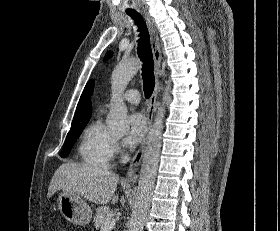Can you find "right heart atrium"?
I'll return each mask as SVG.
<instances>
[{
  "mask_svg": "<svg viewBox=\"0 0 280 231\" xmlns=\"http://www.w3.org/2000/svg\"><path fill=\"white\" fill-rule=\"evenodd\" d=\"M120 152V145L117 140L112 141V155H117Z\"/></svg>",
  "mask_w": 280,
  "mask_h": 231,
  "instance_id": "d8ad5b80",
  "label": "right heart atrium"
}]
</instances>
